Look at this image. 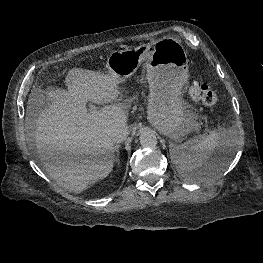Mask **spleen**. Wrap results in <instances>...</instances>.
I'll use <instances>...</instances> for the list:
<instances>
[{"mask_svg":"<svg viewBox=\"0 0 263 263\" xmlns=\"http://www.w3.org/2000/svg\"><path fill=\"white\" fill-rule=\"evenodd\" d=\"M240 136L234 128L211 131L209 134H202L191 138L183 144H172L170 156L179 172L192 182L204 181L216 178L226 170L230 163V156L237 149ZM221 148L225 156L219 161L216 171L204 175L200 168L210 157L216 148Z\"/></svg>","mask_w":263,"mask_h":263,"instance_id":"obj_1","label":"spleen"}]
</instances>
